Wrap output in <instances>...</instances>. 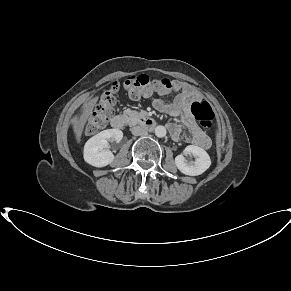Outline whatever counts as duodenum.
Masks as SVG:
<instances>
[{
	"mask_svg": "<svg viewBox=\"0 0 291 291\" xmlns=\"http://www.w3.org/2000/svg\"><path fill=\"white\" fill-rule=\"evenodd\" d=\"M127 118L124 115H115L111 120V125L116 129H122L126 126ZM139 123L146 128L153 129L156 126V122L150 116L145 115L140 118Z\"/></svg>",
	"mask_w": 291,
	"mask_h": 291,
	"instance_id": "1",
	"label": "duodenum"
}]
</instances>
